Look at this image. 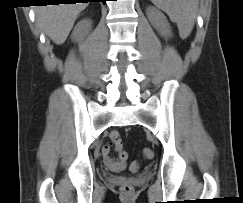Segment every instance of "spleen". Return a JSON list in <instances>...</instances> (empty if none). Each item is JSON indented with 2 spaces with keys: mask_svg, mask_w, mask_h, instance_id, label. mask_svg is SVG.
I'll return each instance as SVG.
<instances>
[{
  "mask_svg": "<svg viewBox=\"0 0 243 203\" xmlns=\"http://www.w3.org/2000/svg\"><path fill=\"white\" fill-rule=\"evenodd\" d=\"M151 2L177 24L182 39L190 35L196 19L198 0H151Z\"/></svg>",
  "mask_w": 243,
  "mask_h": 203,
  "instance_id": "1",
  "label": "spleen"
}]
</instances>
